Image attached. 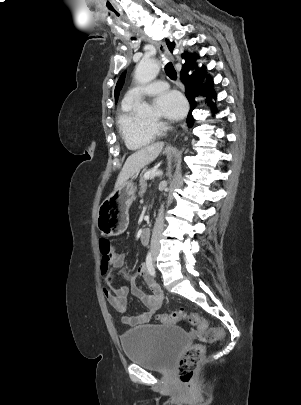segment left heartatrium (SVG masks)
Instances as JSON below:
<instances>
[{
    "label": "left heart atrium",
    "instance_id": "obj_1",
    "mask_svg": "<svg viewBox=\"0 0 301 405\" xmlns=\"http://www.w3.org/2000/svg\"><path fill=\"white\" fill-rule=\"evenodd\" d=\"M155 107L162 117L169 120H178L186 113V102L183 96L176 91L160 94L154 101Z\"/></svg>",
    "mask_w": 301,
    "mask_h": 405
}]
</instances>
